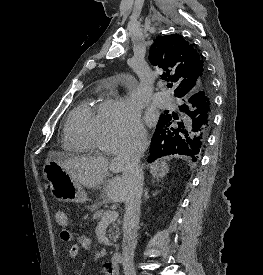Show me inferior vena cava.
Listing matches in <instances>:
<instances>
[{
	"instance_id": "602c4592",
	"label": "inferior vena cava",
	"mask_w": 263,
	"mask_h": 275,
	"mask_svg": "<svg viewBox=\"0 0 263 275\" xmlns=\"http://www.w3.org/2000/svg\"><path fill=\"white\" fill-rule=\"evenodd\" d=\"M148 146L146 134L125 143L115 158L127 183L125 214L123 218L122 264L124 275H136L134 251L137 244V227L140 220L141 196L143 192V173L140 158Z\"/></svg>"
}]
</instances>
